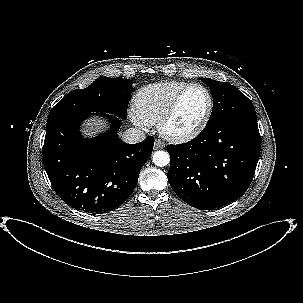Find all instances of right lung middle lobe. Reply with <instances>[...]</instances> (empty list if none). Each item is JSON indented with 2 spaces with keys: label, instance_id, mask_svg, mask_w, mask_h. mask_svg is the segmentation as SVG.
Wrapping results in <instances>:
<instances>
[{
  "label": "right lung middle lobe",
  "instance_id": "dd1d6c3e",
  "mask_svg": "<svg viewBox=\"0 0 303 303\" xmlns=\"http://www.w3.org/2000/svg\"><path fill=\"white\" fill-rule=\"evenodd\" d=\"M132 81L101 77L90 86L68 93L50 111L49 117L73 113H111L126 119Z\"/></svg>",
  "mask_w": 303,
  "mask_h": 303
}]
</instances>
